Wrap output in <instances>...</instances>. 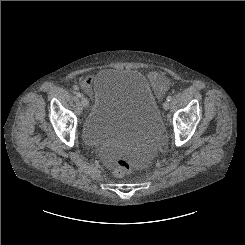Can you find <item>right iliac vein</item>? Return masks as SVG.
<instances>
[{
    "label": "right iliac vein",
    "instance_id": "obj_1",
    "mask_svg": "<svg viewBox=\"0 0 245 245\" xmlns=\"http://www.w3.org/2000/svg\"><path fill=\"white\" fill-rule=\"evenodd\" d=\"M81 104L83 107H88V105H89L88 99L86 97H82L81 98Z\"/></svg>",
    "mask_w": 245,
    "mask_h": 245
}]
</instances>
